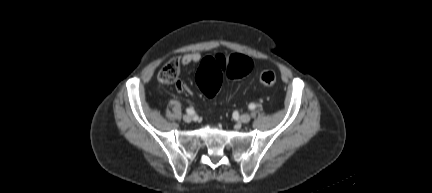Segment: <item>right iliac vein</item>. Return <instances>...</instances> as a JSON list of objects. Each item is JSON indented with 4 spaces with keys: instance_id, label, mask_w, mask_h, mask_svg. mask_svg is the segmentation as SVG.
Here are the masks:
<instances>
[{
    "instance_id": "obj_1",
    "label": "right iliac vein",
    "mask_w": 432,
    "mask_h": 193,
    "mask_svg": "<svg viewBox=\"0 0 432 193\" xmlns=\"http://www.w3.org/2000/svg\"><path fill=\"white\" fill-rule=\"evenodd\" d=\"M183 120L187 123L192 121V117L189 114L183 116Z\"/></svg>"
}]
</instances>
